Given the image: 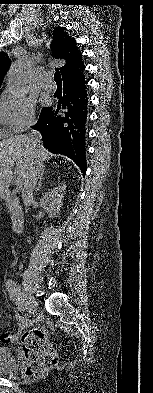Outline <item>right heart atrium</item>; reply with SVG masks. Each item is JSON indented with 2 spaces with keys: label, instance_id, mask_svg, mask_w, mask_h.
Masks as SVG:
<instances>
[{
  "label": "right heart atrium",
  "instance_id": "right-heart-atrium-1",
  "mask_svg": "<svg viewBox=\"0 0 153 393\" xmlns=\"http://www.w3.org/2000/svg\"><path fill=\"white\" fill-rule=\"evenodd\" d=\"M34 121L35 107L29 99H9L0 107V122L12 133L25 131Z\"/></svg>",
  "mask_w": 153,
  "mask_h": 393
}]
</instances>
